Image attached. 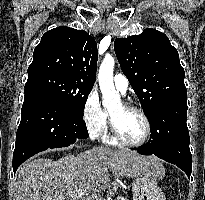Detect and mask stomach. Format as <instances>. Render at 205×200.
Masks as SVG:
<instances>
[{"instance_id":"obj_1","label":"stomach","mask_w":205,"mask_h":200,"mask_svg":"<svg viewBox=\"0 0 205 200\" xmlns=\"http://www.w3.org/2000/svg\"><path fill=\"white\" fill-rule=\"evenodd\" d=\"M157 174L163 172L162 165L158 162L154 166ZM157 177L148 174H139L132 182L133 200H166L161 188L157 185Z\"/></svg>"}]
</instances>
